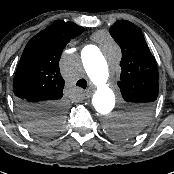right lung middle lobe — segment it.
<instances>
[{
  "label": "right lung middle lobe",
  "instance_id": "1",
  "mask_svg": "<svg viewBox=\"0 0 174 174\" xmlns=\"http://www.w3.org/2000/svg\"><path fill=\"white\" fill-rule=\"evenodd\" d=\"M61 120V114L53 111L47 121L27 124V126L36 134L48 135L57 129V124L60 123Z\"/></svg>",
  "mask_w": 174,
  "mask_h": 174
}]
</instances>
